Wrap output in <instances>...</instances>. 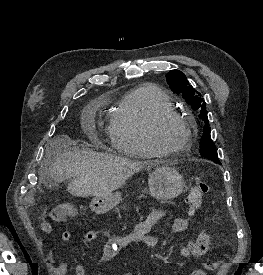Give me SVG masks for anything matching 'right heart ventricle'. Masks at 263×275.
<instances>
[{"label":"right heart ventricle","instance_id":"e07e8e85","mask_svg":"<svg viewBox=\"0 0 263 275\" xmlns=\"http://www.w3.org/2000/svg\"><path fill=\"white\" fill-rule=\"evenodd\" d=\"M166 109L174 110V105L155 85H141L128 91L110 115L109 137L113 148L134 157L155 156L146 138V128L155 114Z\"/></svg>","mask_w":263,"mask_h":275}]
</instances>
